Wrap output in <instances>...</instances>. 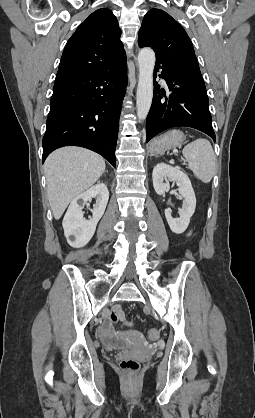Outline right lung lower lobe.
<instances>
[{
	"instance_id": "obj_1",
	"label": "right lung lower lobe",
	"mask_w": 255,
	"mask_h": 418,
	"mask_svg": "<svg viewBox=\"0 0 255 418\" xmlns=\"http://www.w3.org/2000/svg\"><path fill=\"white\" fill-rule=\"evenodd\" d=\"M126 62L110 69L57 78L43 137V162L57 148L93 150L114 167Z\"/></svg>"
}]
</instances>
